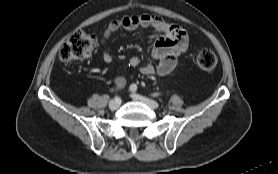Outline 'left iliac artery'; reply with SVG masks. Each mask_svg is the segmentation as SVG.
Returning <instances> with one entry per match:
<instances>
[{
  "instance_id": "44dca946",
  "label": "left iliac artery",
  "mask_w": 278,
  "mask_h": 174,
  "mask_svg": "<svg viewBox=\"0 0 278 174\" xmlns=\"http://www.w3.org/2000/svg\"><path fill=\"white\" fill-rule=\"evenodd\" d=\"M130 90L133 91V92H136L137 91V85L136 84H132L130 86ZM158 95H160V93H153L152 94L153 97H157Z\"/></svg>"
}]
</instances>
